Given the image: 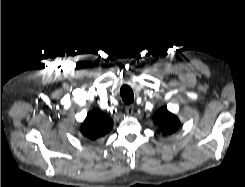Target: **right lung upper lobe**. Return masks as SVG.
Wrapping results in <instances>:
<instances>
[{"label": "right lung upper lobe", "instance_id": "cb5924a9", "mask_svg": "<svg viewBox=\"0 0 245 187\" xmlns=\"http://www.w3.org/2000/svg\"><path fill=\"white\" fill-rule=\"evenodd\" d=\"M112 119L99 110L91 111L81 126V133L91 139L95 140L106 135L112 127Z\"/></svg>", "mask_w": 245, "mask_h": 187}]
</instances>
